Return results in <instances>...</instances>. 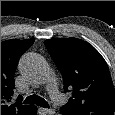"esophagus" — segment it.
<instances>
[{
    "instance_id": "esophagus-1",
    "label": "esophagus",
    "mask_w": 115,
    "mask_h": 115,
    "mask_svg": "<svg viewBox=\"0 0 115 115\" xmlns=\"http://www.w3.org/2000/svg\"><path fill=\"white\" fill-rule=\"evenodd\" d=\"M40 113H42L43 115L54 114L55 111L53 109L40 108Z\"/></svg>"
}]
</instances>
